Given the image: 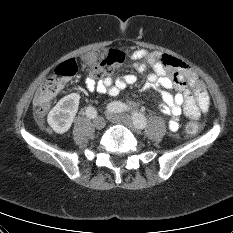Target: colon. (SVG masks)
Instances as JSON below:
<instances>
[{
  "label": "colon",
  "instance_id": "1",
  "mask_svg": "<svg viewBox=\"0 0 233 233\" xmlns=\"http://www.w3.org/2000/svg\"><path fill=\"white\" fill-rule=\"evenodd\" d=\"M124 59L125 54L123 52L112 50L104 60L92 67L90 75L94 78H99L110 74L116 66L124 61ZM77 70L78 67L75 60L70 59L59 64L53 75L44 81L34 96L33 103L37 117L41 118L46 114L65 81L74 76ZM200 129L201 124L195 120L190 121L186 125V132L190 135L198 133Z\"/></svg>",
  "mask_w": 233,
  "mask_h": 233
}]
</instances>
